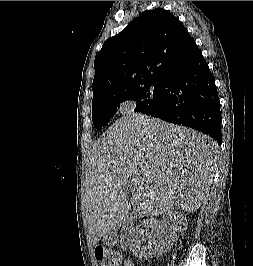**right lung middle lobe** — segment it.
<instances>
[{"instance_id": "dd1d6c3e", "label": "right lung middle lobe", "mask_w": 253, "mask_h": 266, "mask_svg": "<svg viewBox=\"0 0 253 266\" xmlns=\"http://www.w3.org/2000/svg\"><path fill=\"white\" fill-rule=\"evenodd\" d=\"M163 81H153L132 90L110 95L92 104V120L94 126L100 130L114 116L119 104L126 100H134L137 105L135 112L148 114L155 110L162 102Z\"/></svg>"}]
</instances>
